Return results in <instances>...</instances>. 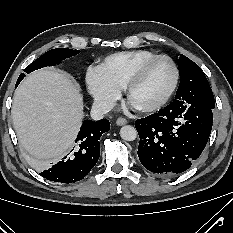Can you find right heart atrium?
<instances>
[{
  "label": "right heart atrium",
  "mask_w": 233,
  "mask_h": 233,
  "mask_svg": "<svg viewBox=\"0 0 233 233\" xmlns=\"http://www.w3.org/2000/svg\"><path fill=\"white\" fill-rule=\"evenodd\" d=\"M86 84L94 105L101 110L110 109L120 92V88L107 77L101 66L87 69Z\"/></svg>",
  "instance_id": "obj_1"
}]
</instances>
